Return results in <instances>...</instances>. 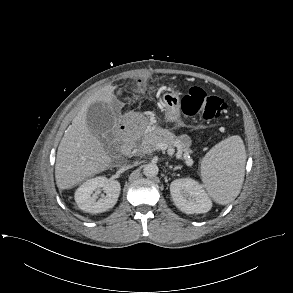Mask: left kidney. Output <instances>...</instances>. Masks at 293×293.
I'll list each match as a JSON object with an SVG mask.
<instances>
[{
    "instance_id": "obj_1",
    "label": "left kidney",
    "mask_w": 293,
    "mask_h": 293,
    "mask_svg": "<svg viewBox=\"0 0 293 293\" xmlns=\"http://www.w3.org/2000/svg\"><path fill=\"white\" fill-rule=\"evenodd\" d=\"M170 193L176 207L186 214L206 213L212 208V201L203 186L191 178L172 181Z\"/></svg>"
}]
</instances>
